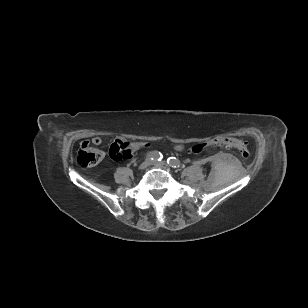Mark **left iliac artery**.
Segmentation results:
<instances>
[{
    "label": "left iliac artery",
    "mask_w": 308,
    "mask_h": 308,
    "mask_svg": "<svg viewBox=\"0 0 308 308\" xmlns=\"http://www.w3.org/2000/svg\"><path fill=\"white\" fill-rule=\"evenodd\" d=\"M167 163H168V165H170L173 168H178L181 165L180 161L175 157H169L167 159Z\"/></svg>",
    "instance_id": "44dca946"
}]
</instances>
